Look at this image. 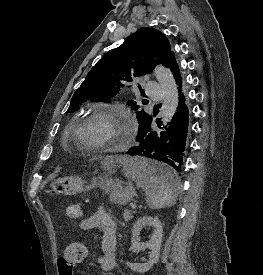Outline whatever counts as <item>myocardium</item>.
Segmentation results:
<instances>
[{
  "mask_svg": "<svg viewBox=\"0 0 263 275\" xmlns=\"http://www.w3.org/2000/svg\"><path fill=\"white\" fill-rule=\"evenodd\" d=\"M107 122L111 134L102 140L92 141L84 137L83 132L94 120ZM74 138L79 147L89 152L112 151L123 147L127 140V129L123 122L111 111L106 109H95L84 116L77 124Z\"/></svg>",
  "mask_w": 263,
  "mask_h": 275,
  "instance_id": "myocardium-1",
  "label": "myocardium"
}]
</instances>
